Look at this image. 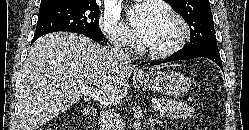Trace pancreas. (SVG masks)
<instances>
[{"label":"pancreas","mask_w":249,"mask_h":130,"mask_svg":"<svg viewBox=\"0 0 249 130\" xmlns=\"http://www.w3.org/2000/svg\"><path fill=\"white\" fill-rule=\"evenodd\" d=\"M158 101L160 104H164L160 114L167 117L186 119L187 117H192L195 111L194 106L182 102L166 100L164 98H160Z\"/></svg>","instance_id":"obj_1"}]
</instances>
